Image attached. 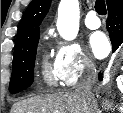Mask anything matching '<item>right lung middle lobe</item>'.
<instances>
[{
	"label": "right lung middle lobe",
	"instance_id": "right-lung-middle-lobe-1",
	"mask_svg": "<svg viewBox=\"0 0 123 113\" xmlns=\"http://www.w3.org/2000/svg\"><path fill=\"white\" fill-rule=\"evenodd\" d=\"M38 40L39 35L24 42L14 50L12 76L9 86V91L13 94L28 88L33 82Z\"/></svg>",
	"mask_w": 123,
	"mask_h": 113
}]
</instances>
